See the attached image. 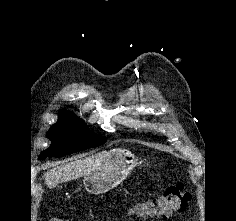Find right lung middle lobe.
<instances>
[{
	"instance_id": "obj_1",
	"label": "right lung middle lobe",
	"mask_w": 236,
	"mask_h": 221,
	"mask_svg": "<svg viewBox=\"0 0 236 221\" xmlns=\"http://www.w3.org/2000/svg\"><path fill=\"white\" fill-rule=\"evenodd\" d=\"M52 145L43 151L39 158L47 156L62 157L88 148L97 147L106 142V138L89 131L88 127L73 113L62 110L58 122L46 135Z\"/></svg>"
}]
</instances>
